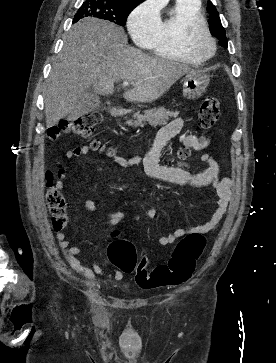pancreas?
<instances>
[{
	"mask_svg": "<svg viewBox=\"0 0 276 363\" xmlns=\"http://www.w3.org/2000/svg\"><path fill=\"white\" fill-rule=\"evenodd\" d=\"M179 112L168 111L164 107L158 109L146 110L144 115L139 112L133 115V119L127 120L128 126L138 127L142 122H148L152 126L165 125L170 117H177Z\"/></svg>",
	"mask_w": 276,
	"mask_h": 363,
	"instance_id": "1",
	"label": "pancreas"
}]
</instances>
